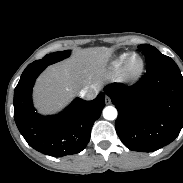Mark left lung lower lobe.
Returning <instances> with one entry per match:
<instances>
[{
	"label": "left lung lower lobe",
	"instance_id": "obj_1",
	"mask_svg": "<svg viewBox=\"0 0 183 183\" xmlns=\"http://www.w3.org/2000/svg\"><path fill=\"white\" fill-rule=\"evenodd\" d=\"M118 110L116 132L132 151L153 152L174 141L183 127V76L176 63L147 70L134 85L105 87Z\"/></svg>",
	"mask_w": 183,
	"mask_h": 183
}]
</instances>
